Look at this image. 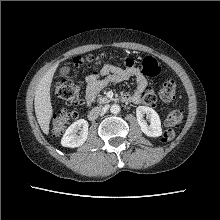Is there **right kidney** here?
I'll return each instance as SVG.
<instances>
[{
  "instance_id": "ca27d5eb",
  "label": "right kidney",
  "mask_w": 220,
  "mask_h": 220,
  "mask_svg": "<svg viewBox=\"0 0 220 220\" xmlns=\"http://www.w3.org/2000/svg\"><path fill=\"white\" fill-rule=\"evenodd\" d=\"M81 129L80 135L77 136V131ZM88 136V122L80 119L71 124L65 131L61 145L64 147L74 148L83 145Z\"/></svg>"
}]
</instances>
